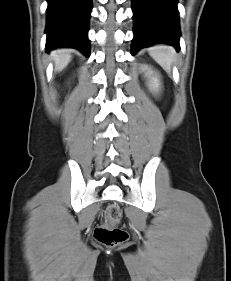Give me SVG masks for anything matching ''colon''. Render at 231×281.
<instances>
[{
  "mask_svg": "<svg viewBox=\"0 0 231 281\" xmlns=\"http://www.w3.org/2000/svg\"><path fill=\"white\" fill-rule=\"evenodd\" d=\"M121 218L122 213L119 206L109 205L104 212L102 223L95 229L96 240L108 247L124 243L128 238V233L119 226Z\"/></svg>",
  "mask_w": 231,
  "mask_h": 281,
  "instance_id": "colon-1",
  "label": "colon"
}]
</instances>
